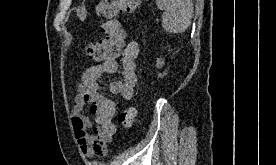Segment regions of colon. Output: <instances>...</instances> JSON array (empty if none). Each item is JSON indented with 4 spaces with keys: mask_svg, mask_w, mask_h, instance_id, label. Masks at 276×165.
Segmentation results:
<instances>
[{
    "mask_svg": "<svg viewBox=\"0 0 276 165\" xmlns=\"http://www.w3.org/2000/svg\"><path fill=\"white\" fill-rule=\"evenodd\" d=\"M141 0H100L96 5V14L102 19V39L85 46V56L93 61L104 62L114 60L124 46L125 33L117 17L122 13L135 12ZM136 119V109L127 107L118 115L120 125L129 129Z\"/></svg>",
    "mask_w": 276,
    "mask_h": 165,
    "instance_id": "5ec220e1",
    "label": "colon"
}]
</instances>
